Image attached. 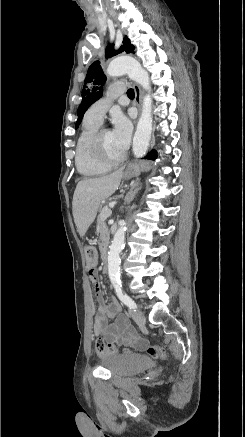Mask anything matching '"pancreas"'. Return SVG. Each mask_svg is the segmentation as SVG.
<instances>
[{
  "label": "pancreas",
  "mask_w": 245,
  "mask_h": 437,
  "mask_svg": "<svg viewBox=\"0 0 245 437\" xmlns=\"http://www.w3.org/2000/svg\"><path fill=\"white\" fill-rule=\"evenodd\" d=\"M104 209H106V207H104L100 210V214L98 215V218H97V230L100 233V241H99L100 248L106 247L108 245L109 239H110V233H109L108 227L105 224L106 218L103 215ZM110 212H111V210H110Z\"/></svg>",
  "instance_id": "pancreas-1"
}]
</instances>
